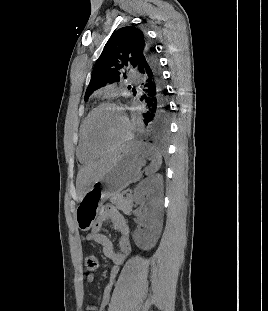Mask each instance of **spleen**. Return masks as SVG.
I'll return each instance as SVG.
<instances>
[{
	"mask_svg": "<svg viewBox=\"0 0 268 311\" xmlns=\"http://www.w3.org/2000/svg\"><path fill=\"white\" fill-rule=\"evenodd\" d=\"M148 148V159L151 160L150 166L146 169V175H152L157 172L162 164V156L161 154L154 150L152 147Z\"/></svg>",
	"mask_w": 268,
	"mask_h": 311,
	"instance_id": "obj_1",
	"label": "spleen"
}]
</instances>
